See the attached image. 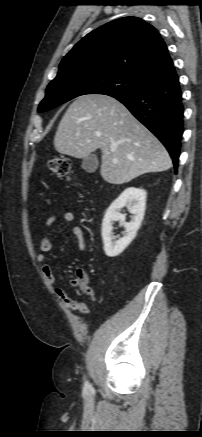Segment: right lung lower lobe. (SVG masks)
<instances>
[{"mask_svg": "<svg viewBox=\"0 0 202 437\" xmlns=\"http://www.w3.org/2000/svg\"><path fill=\"white\" fill-rule=\"evenodd\" d=\"M166 147L177 171L183 133L182 92L173 64L148 77L133 92L112 95Z\"/></svg>", "mask_w": 202, "mask_h": 437, "instance_id": "1", "label": "right lung lower lobe"}]
</instances>
